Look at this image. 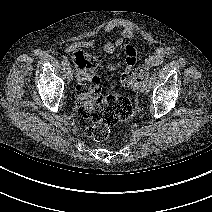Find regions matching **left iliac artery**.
<instances>
[{
    "label": "left iliac artery",
    "mask_w": 212,
    "mask_h": 212,
    "mask_svg": "<svg viewBox=\"0 0 212 212\" xmlns=\"http://www.w3.org/2000/svg\"><path fill=\"white\" fill-rule=\"evenodd\" d=\"M142 84L144 85L145 90L148 92L149 89L151 88V80H150V75L149 74L145 75Z\"/></svg>",
    "instance_id": "obj_1"
}]
</instances>
